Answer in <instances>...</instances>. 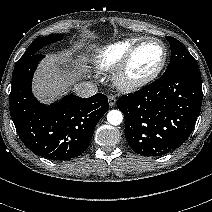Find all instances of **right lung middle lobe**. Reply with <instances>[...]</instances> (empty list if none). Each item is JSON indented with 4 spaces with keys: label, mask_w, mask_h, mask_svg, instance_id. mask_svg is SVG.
Returning a JSON list of instances; mask_svg holds the SVG:
<instances>
[{
    "label": "right lung middle lobe",
    "mask_w": 212,
    "mask_h": 212,
    "mask_svg": "<svg viewBox=\"0 0 212 212\" xmlns=\"http://www.w3.org/2000/svg\"><path fill=\"white\" fill-rule=\"evenodd\" d=\"M62 35H48L47 37H39L35 39L27 48L26 52L23 54V56L18 60H24L25 58H28L29 56L36 54V52L43 46L48 45L52 42H56L58 40L62 39Z\"/></svg>",
    "instance_id": "dd1d6c3e"
}]
</instances>
